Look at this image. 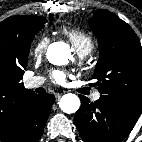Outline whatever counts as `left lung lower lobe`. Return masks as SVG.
<instances>
[{
    "instance_id": "0a47b994",
    "label": "left lung lower lobe",
    "mask_w": 142,
    "mask_h": 142,
    "mask_svg": "<svg viewBox=\"0 0 142 142\" xmlns=\"http://www.w3.org/2000/svg\"><path fill=\"white\" fill-rule=\"evenodd\" d=\"M75 124L85 142H121L135 126L141 112L118 107L101 97L94 103L80 95Z\"/></svg>"
}]
</instances>
